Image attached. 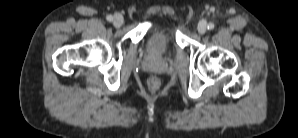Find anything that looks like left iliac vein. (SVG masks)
<instances>
[{"label":"left iliac vein","instance_id":"1","mask_svg":"<svg viewBox=\"0 0 298 138\" xmlns=\"http://www.w3.org/2000/svg\"><path fill=\"white\" fill-rule=\"evenodd\" d=\"M197 29L200 34H204L207 31V22L205 20H201L198 23Z\"/></svg>","mask_w":298,"mask_h":138}]
</instances>
